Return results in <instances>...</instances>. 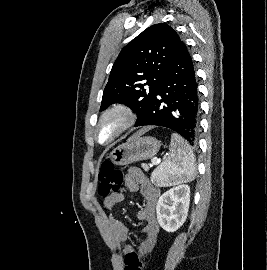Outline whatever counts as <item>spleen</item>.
<instances>
[{"instance_id": "spleen-1", "label": "spleen", "mask_w": 267, "mask_h": 270, "mask_svg": "<svg viewBox=\"0 0 267 270\" xmlns=\"http://www.w3.org/2000/svg\"><path fill=\"white\" fill-rule=\"evenodd\" d=\"M170 152L155 170L158 186H172L195 179V157L189 144L177 133L171 135Z\"/></svg>"}]
</instances>
